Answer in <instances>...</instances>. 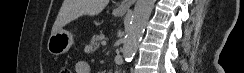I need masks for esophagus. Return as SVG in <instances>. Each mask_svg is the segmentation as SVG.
<instances>
[{
  "instance_id": "esophagus-1",
  "label": "esophagus",
  "mask_w": 244,
  "mask_h": 73,
  "mask_svg": "<svg viewBox=\"0 0 244 73\" xmlns=\"http://www.w3.org/2000/svg\"><path fill=\"white\" fill-rule=\"evenodd\" d=\"M134 2L135 0H124L119 4L118 8L120 10H128Z\"/></svg>"
}]
</instances>
